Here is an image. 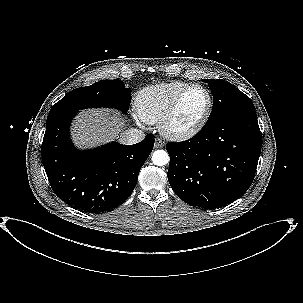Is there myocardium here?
Wrapping results in <instances>:
<instances>
[{
  "label": "myocardium",
  "mask_w": 303,
  "mask_h": 303,
  "mask_svg": "<svg viewBox=\"0 0 303 303\" xmlns=\"http://www.w3.org/2000/svg\"><path fill=\"white\" fill-rule=\"evenodd\" d=\"M194 88H200L205 92L207 96L206 109L195 124L185 129H177L173 127V120L181 106L183 99ZM212 107H213V99L210 91L204 85L198 83L190 84L177 95V97L174 99L170 107L166 110V112L159 120L160 132L165 137L176 141H183L190 139L203 129V127L205 126L211 115Z\"/></svg>",
  "instance_id": "f54148a6"
}]
</instances>
